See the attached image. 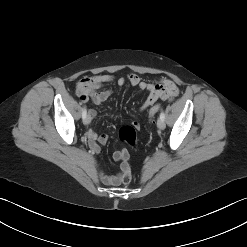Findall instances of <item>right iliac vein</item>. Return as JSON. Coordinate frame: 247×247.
I'll use <instances>...</instances> for the list:
<instances>
[{"label":"right iliac vein","instance_id":"obj_1","mask_svg":"<svg viewBox=\"0 0 247 247\" xmlns=\"http://www.w3.org/2000/svg\"><path fill=\"white\" fill-rule=\"evenodd\" d=\"M83 122H84L85 125H89L90 122H91V117L89 115L86 116V118L83 120Z\"/></svg>","mask_w":247,"mask_h":247}]
</instances>
